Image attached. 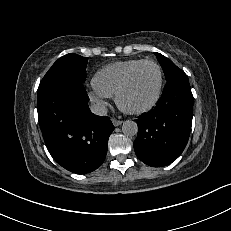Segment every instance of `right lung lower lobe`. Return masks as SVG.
I'll list each match as a JSON object with an SVG mask.
<instances>
[{"mask_svg":"<svg viewBox=\"0 0 231 231\" xmlns=\"http://www.w3.org/2000/svg\"><path fill=\"white\" fill-rule=\"evenodd\" d=\"M83 83L67 78L38 91V119L45 144L62 167L86 174L104 162L114 126L109 117L93 114Z\"/></svg>","mask_w":231,"mask_h":231,"instance_id":"obj_1","label":"right lung lower lobe"}]
</instances>
